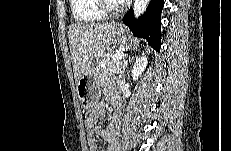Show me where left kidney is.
Segmentation results:
<instances>
[{"label":"left kidney","mask_w":231,"mask_h":151,"mask_svg":"<svg viewBox=\"0 0 231 151\" xmlns=\"http://www.w3.org/2000/svg\"><path fill=\"white\" fill-rule=\"evenodd\" d=\"M147 63H148V58L146 57V55H143L142 57L136 59V62L132 70L133 80H138V78L144 72Z\"/></svg>","instance_id":"1"}]
</instances>
